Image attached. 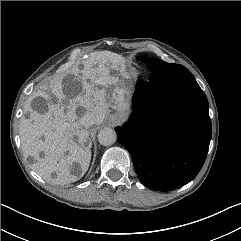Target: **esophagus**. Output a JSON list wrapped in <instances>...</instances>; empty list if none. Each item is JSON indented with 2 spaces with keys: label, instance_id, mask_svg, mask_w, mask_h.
I'll return each instance as SVG.
<instances>
[{
  "label": "esophagus",
  "instance_id": "esophagus-1",
  "mask_svg": "<svg viewBox=\"0 0 241 241\" xmlns=\"http://www.w3.org/2000/svg\"><path fill=\"white\" fill-rule=\"evenodd\" d=\"M109 119L113 122H117V120H118L117 117L114 115H110Z\"/></svg>",
  "mask_w": 241,
  "mask_h": 241
}]
</instances>
